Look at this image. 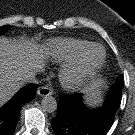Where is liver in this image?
I'll list each match as a JSON object with an SVG mask.
<instances>
[{"mask_svg": "<svg viewBox=\"0 0 135 135\" xmlns=\"http://www.w3.org/2000/svg\"><path fill=\"white\" fill-rule=\"evenodd\" d=\"M45 55L43 49L28 40L0 37V107L24 84L28 71H40Z\"/></svg>", "mask_w": 135, "mask_h": 135, "instance_id": "1", "label": "liver"}]
</instances>
